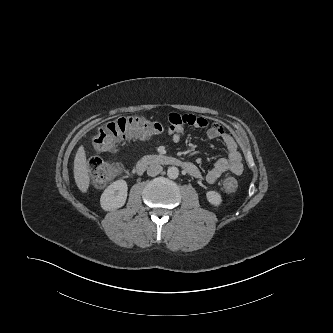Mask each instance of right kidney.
Instances as JSON below:
<instances>
[{"label": "right kidney", "mask_w": 333, "mask_h": 333, "mask_svg": "<svg viewBox=\"0 0 333 333\" xmlns=\"http://www.w3.org/2000/svg\"><path fill=\"white\" fill-rule=\"evenodd\" d=\"M128 186L126 181L117 180L111 183L102 193L100 204L106 211L122 207L127 199Z\"/></svg>", "instance_id": "right-kidney-1"}]
</instances>
